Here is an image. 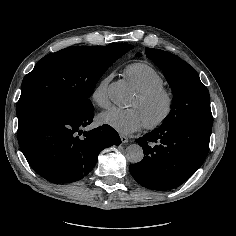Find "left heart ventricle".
Instances as JSON below:
<instances>
[{"mask_svg":"<svg viewBox=\"0 0 236 236\" xmlns=\"http://www.w3.org/2000/svg\"><path fill=\"white\" fill-rule=\"evenodd\" d=\"M131 106L136 107L140 111L145 124L158 119L165 109L163 99H157L151 103H142L137 96L134 97Z\"/></svg>","mask_w":236,"mask_h":236,"instance_id":"b2bd125f","label":"left heart ventricle"}]
</instances>
